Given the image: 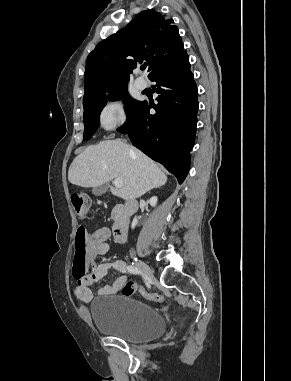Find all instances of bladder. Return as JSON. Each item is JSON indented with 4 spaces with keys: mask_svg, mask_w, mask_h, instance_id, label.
<instances>
[{
    "mask_svg": "<svg viewBox=\"0 0 291 381\" xmlns=\"http://www.w3.org/2000/svg\"><path fill=\"white\" fill-rule=\"evenodd\" d=\"M90 313L99 331L129 342H149L166 330L165 320L156 309L126 295L95 298Z\"/></svg>",
    "mask_w": 291,
    "mask_h": 381,
    "instance_id": "1",
    "label": "bladder"
}]
</instances>
